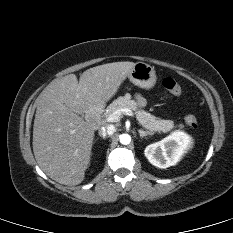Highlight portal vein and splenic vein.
<instances>
[{"mask_svg": "<svg viewBox=\"0 0 233 233\" xmlns=\"http://www.w3.org/2000/svg\"><path fill=\"white\" fill-rule=\"evenodd\" d=\"M128 115V116H133V112L130 109L127 108H121L116 110L114 113L106 117L107 122H118L121 118V115Z\"/></svg>", "mask_w": 233, "mask_h": 233, "instance_id": "1", "label": "portal vein and splenic vein"}]
</instances>
